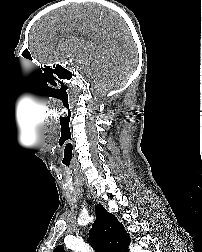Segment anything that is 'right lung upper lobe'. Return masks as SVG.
<instances>
[{"label":"right lung upper lobe","mask_w":202,"mask_h":252,"mask_svg":"<svg viewBox=\"0 0 202 252\" xmlns=\"http://www.w3.org/2000/svg\"><path fill=\"white\" fill-rule=\"evenodd\" d=\"M96 220L89 232L91 246L99 252H125L129 245V235L117 218L107 212L103 206L95 209ZM53 252H64L61 245Z\"/></svg>","instance_id":"1"}]
</instances>
